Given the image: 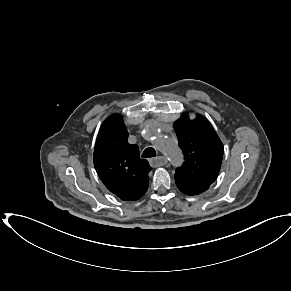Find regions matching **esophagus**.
<instances>
[{"label":"esophagus","instance_id":"esophagus-1","mask_svg":"<svg viewBox=\"0 0 291 291\" xmlns=\"http://www.w3.org/2000/svg\"><path fill=\"white\" fill-rule=\"evenodd\" d=\"M150 164L153 167H160L167 164V159L163 156H158L150 160Z\"/></svg>","mask_w":291,"mask_h":291}]
</instances>
